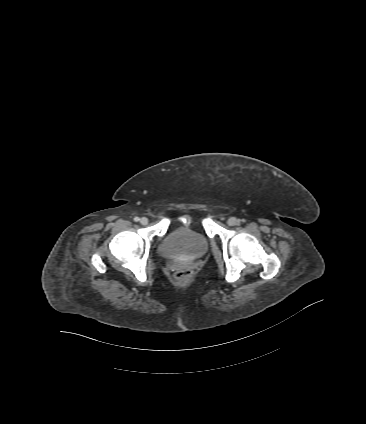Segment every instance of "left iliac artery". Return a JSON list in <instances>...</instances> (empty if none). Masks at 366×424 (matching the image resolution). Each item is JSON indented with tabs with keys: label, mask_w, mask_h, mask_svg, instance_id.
I'll return each instance as SVG.
<instances>
[{
	"label": "left iliac artery",
	"mask_w": 366,
	"mask_h": 424,
	"mask_svg": "<svg viewBox=\"0 0 366 424\" xmlns=\"http://www.w3.org/2000/svg\"><path fill=\"white\" fill-rule=\"evenodd\" d=\"M245 220L244 219H242V220H238V222H244Z\"/></svg>",
	"instance_id": "left-iliac-artery-1"
}]
</instances>
